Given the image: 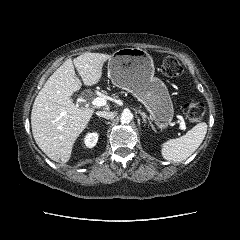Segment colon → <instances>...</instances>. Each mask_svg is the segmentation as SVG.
<instances>
[{"label":"colon","mask_w":240,"mask_h":240,"mask_svg":"<svg viewBox=\"0 0 240 240\" xmlns=\"http://www.w3.org/2000/svg\"><path fill=\"white\" fill-rule=\"evenodd\" d=\"M182 66L175 57H167L162 64V71L167 77H177L182 73ZM205 106L199 101H190L183 106V113L191 123L199 122L204 115Z\"/></svg>","instance_id":"1"}]
</instances>
